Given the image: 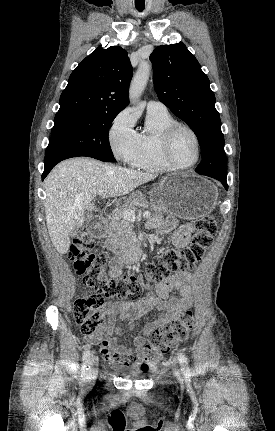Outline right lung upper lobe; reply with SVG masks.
Instances as JSON below:
<instances>
[{"mask_svg": "<svg viewBox=\"0 0 275 431\" xmlns=\"http://www.w3.org/2000/svg\"><path fill=\"white\" fill-rule=\"evenodd\" d=\"M132 72L124 49L98 47L71 73L57 114L85 110L120 112L129 103Z\"/></svg>", "mask_w": 275, "mask_h": 431, "instance_id": "1", "label": "right lung upper lobe"}]
</instances>
